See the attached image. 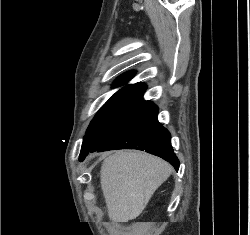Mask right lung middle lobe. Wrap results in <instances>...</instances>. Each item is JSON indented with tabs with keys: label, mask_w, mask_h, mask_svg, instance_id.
I'll return each mask as SVG.
<instances>
[{
	"label": "right lung middle lobe",
	"mask_w": 250,
	"mask_h": 235,
	"mask_svg": "<svg viewBox=\"0 0 250 235\" xmlns=\"http://www.w3.org/2000/svg\"><path fill=\"white\" fill-rule=\"evenodd\" d=\"M128 100V98L122 97L110 98L92 120L87 129L85 137L89 135L96 127H98L104 120H106L112 113H114L118 107Z\"/></svg>",
	"instance_id": "1"
}]
</instances>
